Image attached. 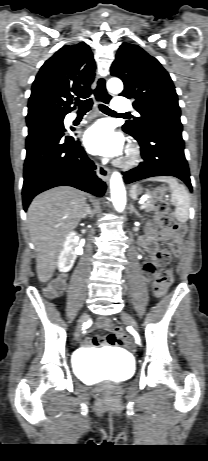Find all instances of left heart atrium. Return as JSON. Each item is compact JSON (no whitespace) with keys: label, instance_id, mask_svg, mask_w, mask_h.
<instances>
[{"label":"left heart atrium","instance_id":"1","mask_svg":"<svg viewBox=\"0 0 208 461\" xmlns=\"http://www.w3.org/2000/svg\"><path fill=\"white\" fill-rule=\"evenodd\" d=\"M84 144L90 153L110 157L122 152L123 137L108 122L100 121L85 132Z\"/></svg>","mask_w":208,"mask_h":461}]
</instances>
